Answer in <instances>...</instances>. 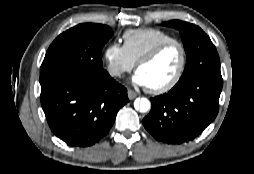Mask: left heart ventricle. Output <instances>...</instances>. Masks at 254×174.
<instances>
[{
  "instance_id": "left-heart-ventricle-1",
  "label": "left heart ventricle",
  "mask_w": 254,
  "mask_h": 174,
  "mask_svg": "<svg viewBox=\"0 0 254 174\" xmlns=\"http://www.w3.org/2000/svg\"><path fill=\"white\" fill-rule=\"evenodd\" d=\"M181 62L178 46L164 50L155 60L141 66L138 71L145 77L148 87L157 88L168 83L176 74Z\"/></svg>"
}]
</instances>
